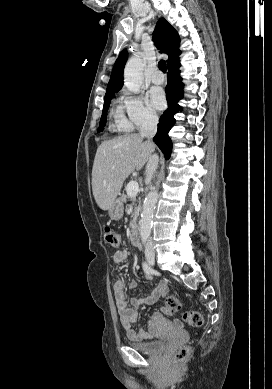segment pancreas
<instances>
[{"label": "pancreas", "mask_w": 272, "mask_h": 389, "mask_svg": "<svg viewBox=\"0 0 272 389\" xmlns=\"http://www.w3.org/2000/svg\"><path fill=\"white\" fill-rule=\"evenodd\" d=\"M122 200L123 202H127L128 200H131L132 201V204L134 206V213H133V220L132 222L130 223V227L133 229L136 225V221H137V217H138V214H139V206H137L135 204V201H136V198L135 197H131L129 195H122Z\"/></svg>", "instance_id": "cf45deb5"}]
</instances>
